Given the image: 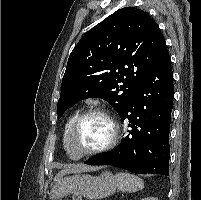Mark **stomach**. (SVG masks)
<instances>
[{"mask_svg": "<svg viewBox=\"0 0 201 200\" xmlns=\"http://www.w3.org/2000/svg\"><path fill=\"white\" fill-rule=\"evenodd\" d=\"M116 187L115 177L107 171L100 176L76 174L55 181L49 195L52 200H58L63 196L76 193L89 200H96L112 195Z\"/></svg>", "mask_w": 201, "mask_h": 200, "instance_id": "stomach-1", "label": "stomach"}]
</instances>
